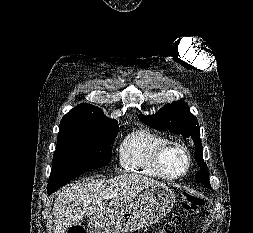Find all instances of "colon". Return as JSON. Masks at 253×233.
<instances>
[{"label": "colon", "mask_w": 253, "mask_h": 233, "mask_svg": "<svg viewBox=\"0 0 253 233\" xmlns=\"http://www.w3.org/2000/svg\"><path fill=\"white\" fill-rule=\"evenodd\" d=\"M205 204L203 197L190 194L182 193L180 195V204L176 214L172 219L164 226L160 233H175L176 228L181 223L182 217L190 212L201 208ZM67 233H84V228L81 225H72Z\"/></svg>", "instance_id": "obj_1"}]
</instances>
